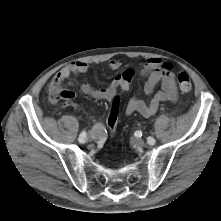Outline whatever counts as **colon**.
I'll use <instances>...</instances> for the list:
<instances>
[{"label": "colon", "instance_id": "5ec220e1", "mask_svg": "<svg viewBox=\"0 0 221 221\" xmlns=\"http://www.w3.org/2000/svg\"><path fill=\"white\" fill-rule=\"evenodd\" d=\"M177 79L179 83V88L182 93L187 94L191 92L192 83L189 76L186 73H179ZM48 94L50 101L53 103H57L62 100H71L74 98V93L64 89L61 86V83L58 81H53L51 83L48 89ZM121 100V93L116 92L113 96L112 105L107 118L108 129L112 135L115 133L116 130Z\"/></svg>", "mask_w": 221, "mask_h": 221}]
</instances>
